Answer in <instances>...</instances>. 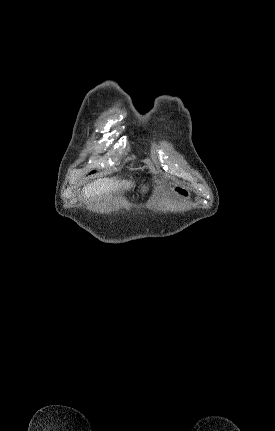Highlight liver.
I'll use <instances>...</instances> for the list:
<instances>
[{
  "label": "liver",
  "instance_id": "obj_1",
  "mask_svg": "<svg viewBox=\"0 0 275 431\" xmlns=\"http://www.w3.org/2000/svg\"><path fill=\"white\" fill-rule=\"evenodd\" d=\"M133 186L131 182L110 179V178H100L83 188V196L85 199H96L106 196L112 192L118 191L119 188L130 189Z\"/></svg>",
  "mask_w": 275,
  "mask_h": 431
}]
</instances>
